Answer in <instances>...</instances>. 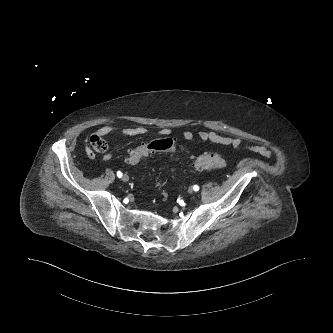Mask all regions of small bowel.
Masks as SVG:
<instances>
[{
	"instance_id": "obj_1",
	"label": "small bowel",
	"mask_w": 333,
	"mask_h": 333,
	"mask_svg": "<svg viewBox=\"0 0 333 333\" xmlns=\"http://www.w3.org/2000/svg\"><path fill=\"white\" fill-rule=\"evenodd\" d=\"M146 132L147 128L145 126L118 127L114 125H105L96 132V135L102 137H106L111 134H121L124 136H142L146 134ZM159 135L161 137L159 139L171 138V130L168 128H163L160 130ZM181 136L186 141H192L197 137L202 142H210L224 146H232L235 148L244 147L241 138L229 135H221L213 130H201L198 131L197 134H195L192 130L186 129L182 131ZM247 148L265 156L271 155L270 151L265 146L262 145H250L247 146ZM85 153L87 157L90 159L94 157L92 150L88 146L85 147ZM111 158H112V153L107 152L102 156V161L108 162L109 160H111Z\"/></svg>"
}]
</instances>
